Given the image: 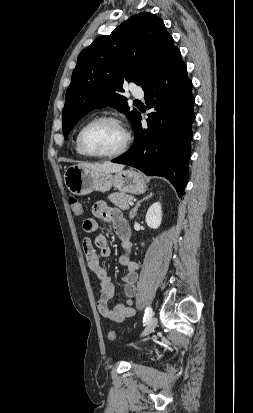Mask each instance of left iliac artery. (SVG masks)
Segmentation results:
<instances>
[{"instance_id": "1", "label": "left iliac artery", "mask_w": 253, "mask_h": 413, "mask_svg": "<svg viewBox=\"0 0 253 413\" xmlns=\"http://www.w3.org/2000/svg\"><path fill=\"white\" fill-rule=\"evenodd\" d=\"M153 315L151 307H147L145 309L144 320L143 322H147Z\"/></svg>"}]
</instances>
